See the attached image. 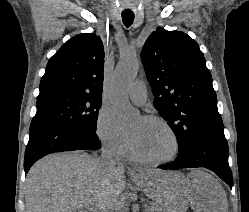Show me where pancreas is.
<instances>
[{"mask_svg": "<svg viewBox=\"0 0 249 212\" xmlns=\"http://www.w3.org/2000/svg\"><path fill=\"white\" fill-rule=\"evenodd\" d=\"M145 212H162V208L158 204H152V206L146 208Z\"/></svg>", "mask_w": 249, "mask_h": 212, "instance_id": "1", "label": "pancreas"}]
</instances>
